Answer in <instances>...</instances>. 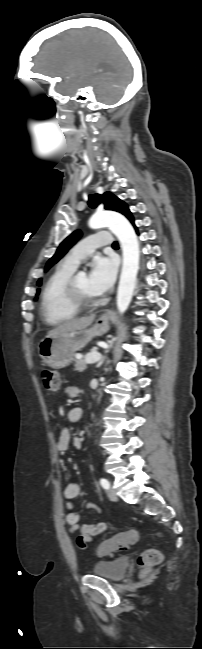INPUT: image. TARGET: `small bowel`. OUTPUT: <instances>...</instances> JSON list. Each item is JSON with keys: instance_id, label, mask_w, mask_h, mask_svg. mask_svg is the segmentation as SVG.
I'll use <instances>...</instances> for the list:
<instances>
[{"instance_id": "1", "label": "small bowel", "mask_w": 202, "mask_h": 649, "mask_svg": "<svg viewBox=\"0 0 202 649\" xmlns=\"http://www.w3.org/2000/svg\"><path fill=\"white\" fill-rule=\"evenodd\" d=\"M79 390L74 385H67L64 389V394L69 398H74L78 395ZM82 417V409L80 407H72L68 411V419L71 423H77ZM71 441V434L69 429L64 428L57 439L56 448L59 451H64L69 447ZM74 446L77 449H80L82 446L81 440L78 437L74 438ZM80 485L75 481L69 482L64 488V497L68 501L69 507L71 508V502L74 500L80 493ZM88 508L94 509L97 513H101V509L92 503L87 504ZM66 522L69 525V529L72 533L79 532L77 537V545L82 550H86L88 543L94 540V537L105 532L107 530V524L102 521H96L93 523L81 522L80 515L73 510H68L65 516Z\"/></svg>"}]
</instances>
